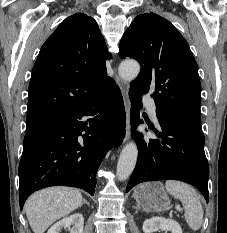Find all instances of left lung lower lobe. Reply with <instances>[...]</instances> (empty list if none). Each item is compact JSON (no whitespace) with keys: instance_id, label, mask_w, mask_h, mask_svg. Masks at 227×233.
Segmentation results:
<instances>
[{"instance_id":"0a47b994","label":"left lung lower lobe","mask_w":227,"mask_h":233,"mask_svg":"<svg viewBox=\"0 0 227 233\" xmlns=\"http://www.w3.org/2000/svg\"><path fill=\"white\" fill-rule=\"evenodd\" d=\"M142 94L129 90L131 100V129L143 123L140 118ZM158 129L150 127L158 139L137 135L139 154L126 192L135 185L153 180H180L195 186L208 202L209 166L204 152V135L201 131L179 121L156 108Z\"/></svg>"}]
</instances>
